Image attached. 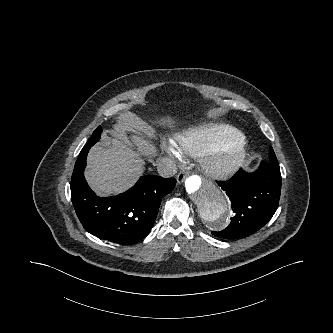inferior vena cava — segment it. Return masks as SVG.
I'll use <instances>...</instances> for the list:
<instances>
[{"instance_id":"inferior-vena-cava-1","label":"inferior vena cava","mask_w":333,"mask_h":333,"mask_svg":"<svg viewBox=\"0 0 333 333\" xmlns=\"http://www.w3.org/2000/svg\"><path fill=\"white\" fill-rule=\"evenodd\" d=\"M157 171L160 176L169 178L177 173V167L171 159H161L157 164Z\"/></svg>"}]
</instances>
